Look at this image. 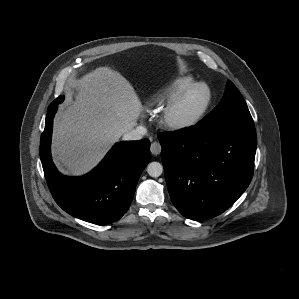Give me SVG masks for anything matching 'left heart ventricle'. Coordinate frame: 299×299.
<instances>
[{
	"label": "left heart ventricle",
	"mask_w": 299,
	"mask_h": 299,
	"mask_svg": "<svg viewBox=\"0 0 299 299\" xmlns=\"http://www.w3.org/2000/svg\"><path fill=\"white\" fill-rule=\"evenodd\" d=\"M206 98L204 89H196L189 93L176 111L179 118H187L195 114L203 105Z\"/></svg>",
	"instance_id": "obj_1"
}]
</instances>
